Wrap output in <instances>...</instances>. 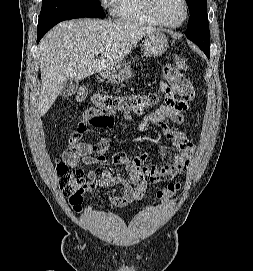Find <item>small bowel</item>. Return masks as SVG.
<instances>
[{"mask_svg":"<svg viewBox=\"0 0 253 271\" xmlns=\"http://www.w3.org/2000/svg\"><path fill=\"white\" fill-rule=\"evenodd\" d=\"M183 82L184 77L175 67L165 66L160 81L164 104L136 124V130L141 132L146 131L149 126L157 127L173 145L175 152L159 166H149L146 163L147 154L145 152L137 154L133 158H130L125 152H116L111 161L114 165L128 171V178L118 176L110 170L91 169L87 172L89 179L87 191L122 185V195H111L109 200L117 206H123L140 200L149 183L169 181L183 173L190 163L195 146L186 132L169 126V123L181 125L185 122V113L194 98V92L190 94L188 91L179 89V83ZM125 118L131 119V116L126 115ZM91 125L98 128H112L114 118L110 114L103 115L87 111L67 140V148L63 153V159L66 162L86 166L107 163L106 153L109 150L107 138L102 137L96 143L81 141Z\"/></svg>","mask_w":253,"mask_h":271,"instance_id":"small-bowel-1","label":"small bowel"}]
</instances>
